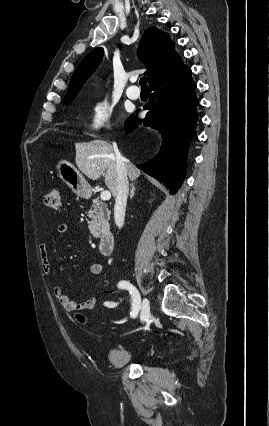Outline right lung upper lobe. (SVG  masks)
<instances>
[{
	"instance_id": "1",
	"label": "right lung upper lobe",
	"mask_w": 269,
	"mask_h": 426,
	"mask_svg": "<svg viewBox=\"0 0 269 426\" xmlns=\"http://www.w3.org/2000/svg\"><path fill=\"white\" fill-rule=\"evenodd\" d=\"M174 42L168 33L149 27L144 32L139 48V59L145 64L149 86L177 72L184 64L176 53ZM103 58V48L98 47L89 52L80 62L70 80L65 99L75 98L84 82L91 76Z\"/></svg>"
}]
</instances>
